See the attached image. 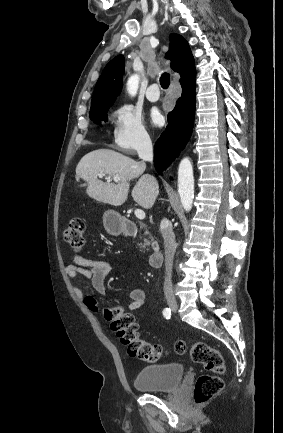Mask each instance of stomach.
<instances>
[{
    "label": "stomach",
    "mask_w": 283,
    "mask_h": 433,
    "mask_svg": "<svg viewBox=\"0 0 283 433\" xmlns=\"http://www.w3.org/2000/svg\"><path fill=\"white\" fill-rule=\"evenodd\" d=\"M104 217L107 219L106 231H108L110 235L118 237V235H121V233L125 231L127 219L121 217L119 212H116V210H106Z\"/></svg>",
    "instance_id": "obj_1"
}]
</instances>
